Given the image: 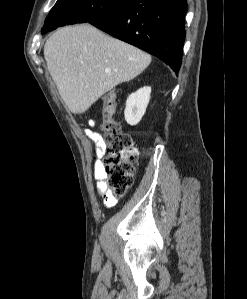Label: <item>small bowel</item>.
I'll return each mask as SVG.
<instances>
[{
	"mask_svg": "<svg viewBox=\"0 0 247 299\" xmlns=\"http://www.w3.org/2000/svg\"><path fill=\"white\" fill-rule=\"evenodd\" d=\"M96 121L91 119L88 122L89 127L85 129L86 137L95 145V154L97 159L94 162V175L97 181V194L99 197L103 198L104 205L107 208H111L116 203V198L113 194L108 190L106 183L103 177V166L100 160L104 155V143L102 136L93 131L91 128L95 126Z\"/></svg>",
	"mask_w": 247,
	"mask_h": 299,
	"instance_id": "obj_1",
	"label": "small bowel"
}]
</instances>
